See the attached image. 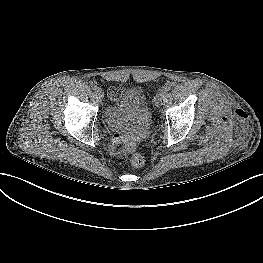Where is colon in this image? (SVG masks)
<instances>
[{
  "instance_id": "colon-1",
  "label": "colon",
  "mask_w": 263,
  "mask_h": 263,
  "mask_svg": "<svg viewBox=\"0 0 263 263\" xmlns=\"http://www.w3.org/2000/svg\"><path fill=\"white\" fill-rule=\"evenodd\" d=\"M116 94V91L114 89L110 90V95L114 96ZM127 158L132 166L134 167H140L144 163L143 156L138 152H131L127 154Z\"/></svg>"
}]
</instances>
